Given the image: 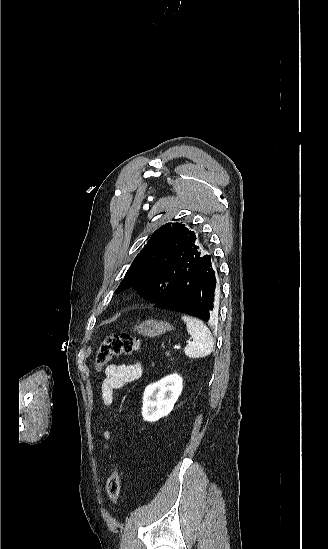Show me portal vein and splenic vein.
<instances>
[{"label": "portal vein and splenic vein", "mask_w": 328, "mask_h": 549, "mask_svg": "<svg viewBox=\"0 0 328 549\" xmlns=\"http://www.w3.org/2000/svg\"><path fill=\"white\" fill-rule=\"evenodd\" d=\"M186 343H190V341H186ZM176 350H181L180 345H177Z\"/></svg>", "instance_id": "1"}]
</instances>
